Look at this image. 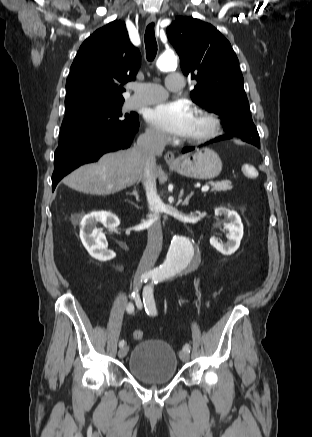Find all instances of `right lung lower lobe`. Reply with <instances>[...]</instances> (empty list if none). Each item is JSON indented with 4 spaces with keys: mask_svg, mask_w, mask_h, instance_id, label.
Here are the masks:
<instances>
[{
    "mask_svg": "<svg viewBox=\"0 0 312 437\" xmlns=\"http://www.w3.org/2000/svg\"><path fill=\"white\" fill-rule=\"evenodd\" d=\"M138 127L137 119L122 128L101 131L58 145L54 156L52 190L65 175L80 165L97 161L106 152L128 148Z\"/></svg>",
    "mask_w": 312,
    "mask_h": 437,
    "instance_id": "1",
    "label": "right lung lower lobe"
}]
</instances>
